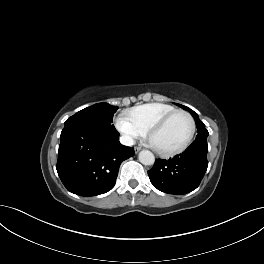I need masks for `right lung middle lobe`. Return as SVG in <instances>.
Here are the masks:
<instances>
[{
    "instance_id": "right-lung-middle-lobe-1",
    "label": "right lung middle lobe",
    "mask_w": 264,
    "mask_h": 264,
    "mask_svg": "<svg viewBox=\"0 0 264 264\" xmlns=\"http://www.w3.org/2000/svg\"><path fill=\"white\" fill-rule=\"evenodd\" d=\"M117 106H111L107 103H98L87 107L65 121L68 125H86L98 128L114 129L113 115L117 111Z\"/></svg>"
}]
</instances>
